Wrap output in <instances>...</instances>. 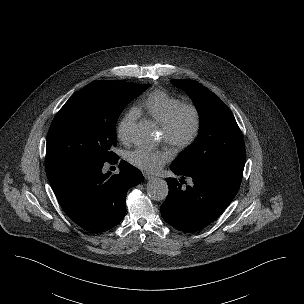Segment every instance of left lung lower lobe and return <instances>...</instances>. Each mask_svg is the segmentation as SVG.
Segmentation results:
<instances>
[{"label":"left lung lower lobe","instance_id":"0a47b994","mask_svg":"<svg viewBox=\"0 0 304 304\" xmlns=\"http://www.w3.org/2000/svg\"><path fill=\"white\" fill-rule=\"evenodd\" d=\"M176 178H167L169 194L161 206L163 219L175 229L195 232L212 223L236 196L242 173L230 170L182 171L171 164ZM190 177L193 183L182 187L183 179Z\"/></svg>","mask_w":304,"mask_h":304}]
</instances>
